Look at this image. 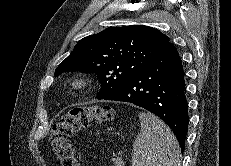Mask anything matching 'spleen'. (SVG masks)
Instances as JSON below:
<instances>
[{"label": "spleen", "mask_w": 231, "mask_h": 166, "mask_svg": "<svg viewBox=\"0 0 231 166\" xmlns=\"http://www.w3.org/2000/svg\"><path fill=\"white\" fill-rule=\"evenodd\" d=\"M140 133L133 144L132 166H180L181 151L171 129L151 113H139Z\"/></svg>", "instance_id": "1"}]
</instances>
